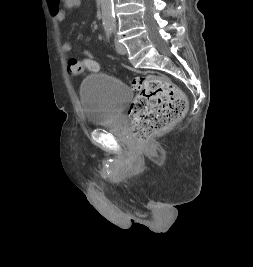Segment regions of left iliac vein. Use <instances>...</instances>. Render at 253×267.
Listing matches in <instances>:
<instances>
[{"instance_id":"obj_1","label":"left iliac vein","mask_w":253,"mask_h":267,"mask_svg":"<svg viewBox=\"0 0 253 267\" xmlns=\"http://www.w3.org/2000/svg\"><path fill=\"white\" fill-rule=\"evenodd\" d=\"M114 43L116 46L117 53H119L121 55H125L126 54V48L120 42H118L117 39L114 40Z\"/></svg>"}]
</instances>
